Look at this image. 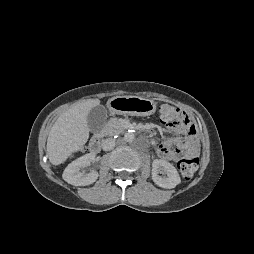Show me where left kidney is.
Listing matches in <instances>:
<instances>
[{
    "instance_id": "obj_1",
    "label": "left kidney",
    "mask_w": 254,
    "mask_h": 254,
    "mask_svg": "<svg viewBox=\"0 0 254 254\" xmlns=\"http://www.w3.org/2000/svg\"><path fill=\"white\" fill-rule=\"evenodd\" d=\"M160 172L166 173L167 177H161ZM152 179L156 185L167 189L175 188L181 182L176 168L161 159H156L152 163Z\"/></svg>"
}]
</instances>
